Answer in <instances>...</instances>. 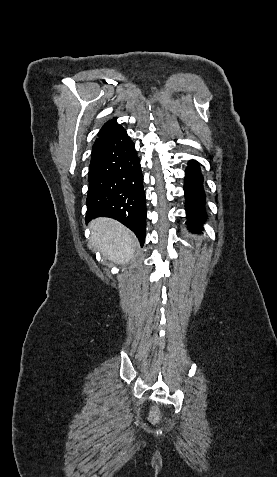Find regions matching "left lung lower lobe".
I'll return each instance as SVG.
<instances>
[{
    "label": "left lung lower lobe",
    "mask_w": 277,
    "mask_h": 477,
    "mask_svg": "<svg viewBox=\"0 0 277 477\" xmlns=\"http://www.w3.org/2000/svg\"><path fill=\"white\" fill-rule=\"evenodd\" d=\"M185 200L188 225L193 232L201 230L206 213L204 210L203 177L196 161H190L186 169L185 177Z\"/></svg>",
    "instance_id": "left-lung-lower-lobe-1"
}]
</instances>
